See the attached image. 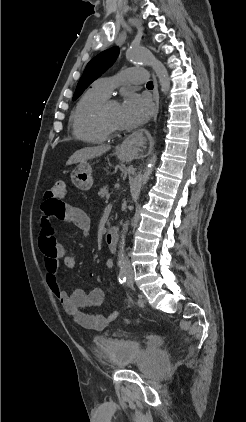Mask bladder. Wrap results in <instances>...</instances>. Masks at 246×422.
I'll return each mask as SVG.
<instances>
[{"instance_id":"obj_1","label":"bladder","mask_w":246,"mask_h":422,"mask_svg":"<svg viewBox=\"0 0 246 422\" xmlns=\"http://www.w3.org/2000/svg\"><path fill=\"white\" fill-rule=\"evenodd\" d=\"M97 348L105 358L120 367L137 364L143 350L138 340L128 338H104L98 342ZM150 356L156 367L168 365V356L162 348L153 347Z\"/></svg>"}]
</instances>
